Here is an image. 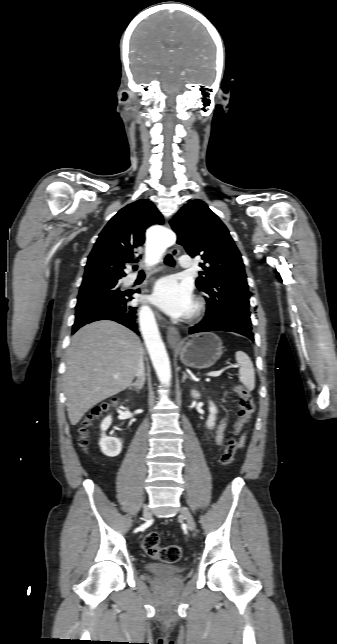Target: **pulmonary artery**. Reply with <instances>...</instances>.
<instances>
[{
  "label": "pulmonary artery",
  "instance_id": "obj_1",
  "mask_svg": "<svg viewBox=\"0 0 337 644\" xmlns=\"http://www.w3.org/2000/svg\"><path fill=\"white\" fill-rule=\"evenodd\" d=\"M178 260H179V266L181 268L187 269V268H190L192 265V259L189 255H181L178 258ZM132 278L134 279L135 276H132Z\"/></svg>",
  "mask_w": 337,
  "mask_h": 644
}]
</instances>
